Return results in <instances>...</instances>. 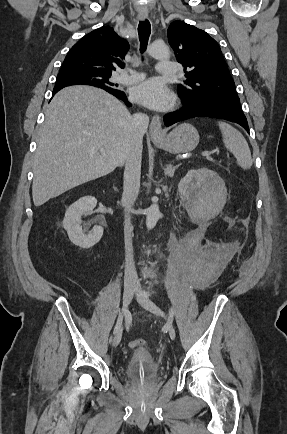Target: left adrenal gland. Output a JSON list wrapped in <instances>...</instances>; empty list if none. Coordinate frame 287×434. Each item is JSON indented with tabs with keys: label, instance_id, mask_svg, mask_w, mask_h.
Instances as JSON below:
<instances>
[{
	"label": "left adrenal gland",
	"instance_id": "a2214340",
	"mask_svg": "<svg viewBox=\"0 0 287 434\" xmlns=\"http://www.w3.org/2000/svg\"><path fill=\"white\" fill-rule=\"evenodd\" d=\"M179 167V165L173 166L171 163L166 165L164 168V173L166 176L173 177L175 170Z\"/></svg>",
	"mask_w": 287,
	"mask_h": 434
}]
</instances>
